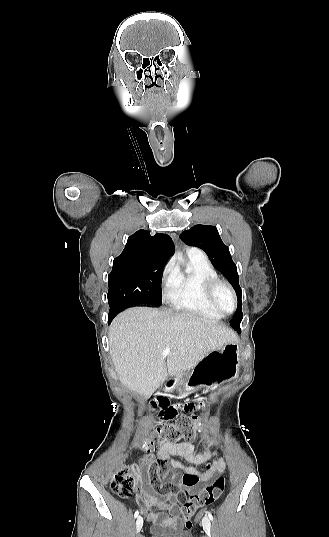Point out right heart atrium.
<instances>
[{
    "mask_svg": "<svg viewBox=\"0 0 329 537\" xmlns=\"http://www.w3.org/2000/svg\"><path fill=\"white\" fill-rule=\"evenodd\" d=\"M175 277H176V268L174 267L172 262H169L163 268L161 276H160L163 291L166 296L174 286Z\"/></svg>",
    "mask_w": 329,
    "mask_h": 537,
    "instance_id": "obj_1",
    "label": "right heart atrium"
}]
</instances>
